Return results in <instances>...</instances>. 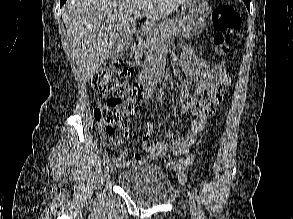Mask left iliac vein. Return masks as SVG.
<instances>
[{
    "label": "left iliac vein",
    "instance_id": "obj_1",
    "mask_svg": "<svg viewBox=\"0 0 293 219\" xmlns=\"http://www.w3.org/2000/svg\"><path fill=\"white\" fill-rule=\"evenodd\" d=\"M189 205H190V213H191L192 219H198L197 206L192 196L189 197Z\"/></svg>",
    "mask_w": 293,
    "mask_h": 219
}]
</instances>
